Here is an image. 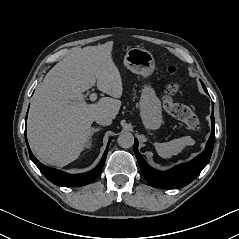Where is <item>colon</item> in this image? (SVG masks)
<instances>
[{"label":"colon","instance_id":"colon-1","mask_svg":"<svg viewBox=\"0 0 239 239\" xmlns=\"http://www.w3.org/2000/svg\"><path fill=\"white\" fill-rule=\"evenodd\" d=\"M169 72L174 74L176 68L170 66ZM180 90L181 85L178 81L170 83L163 97V106L172 116L182 121L190 130L199 131L201 129V122L194 111L190 107L175 101V97L180 93Z\"/></svg>","mask_w":239,"mask_h":239}]
</instances>
